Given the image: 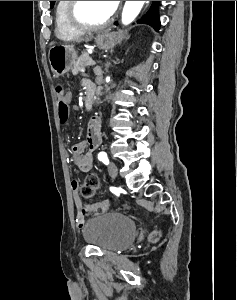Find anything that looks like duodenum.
I'll list each match as a JSON object with an SVG mask.
<instances>
[{
  "label": "duodenum",
  "mask_w": 237,
  "mask_h": 300,
  "mask_svg": "<svg viewBox=\"0 0 237 300\" xmlns=\"http://www.w3.org/2000/svg\"><path fill=\"white\" fill-rule=\"evenodd\" d=\"M93 102V91L91 89L86 90L84 97V107L86 109L90 108Z\"/></svg>",
  "instance_id": "duodenum-1"
}]
</instances>
